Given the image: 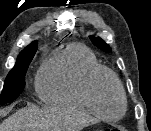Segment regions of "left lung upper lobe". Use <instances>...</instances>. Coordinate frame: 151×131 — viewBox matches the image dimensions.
Instances as JSON below:
<instances>
[{"mask_svg": "<svg viewBox=\"0 0 151 131\" xmlns=\"http://www.w3.org/2000/svg\"><path fill=\"white\" fill-rule=\"evenodd\" d=\"M91 41L94 45H96L98 48L102 49L105 52H111V48L108 44H106L101 38L90 36Z\"/></svg>", "mask_w": 151, "mask_h": 131, "instance_id": "1", "label": "left lung upper lobe"}]
</instances>
